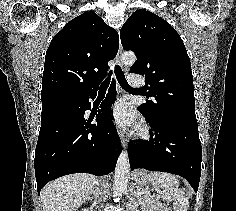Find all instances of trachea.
<instances>
[{
    "mask_svg": "<svg viewBox=\"0 0 236 211\" xmlns=\"http://www.w3.org/2000/svg\"><path fill=\"white\" fill-rule=\"evenodd\" d=\"M114 72L116 75V78L119 82V84L121 85V87L125 90H133V88L127 83V80L125 78V75L122 71V69L120 68L119 65H116L114 68ZM112 75V71L109 72L108 77L103 81V83L101 84V89H106L109 86L110 83V76Z\"/></svg>",
    "mask_w": 236,
    "mask_h": 211,
    "instance_id": "3493384b",
    "label": "trachea"
}]
</instances>
